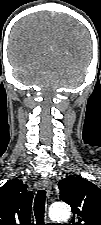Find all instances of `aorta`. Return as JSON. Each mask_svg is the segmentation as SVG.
I'll return each instance as SVG.
<instances>
[{
  "instance_id": "1",
  "label": "aorta",
  "mask_w": 101,
  "mask_h": 225,
  "mask_svg": "<svg viewBox=\"0 0 101 225\" xmlns=\"http://www.w3.org/2000/svg\"><path fill=\"white\" fill-rule=\"evenodd\" d=\"M71 216V209L66 204L56 203L49 209V217L53 221H66Z\"/></svg>"
}]
</instances>
